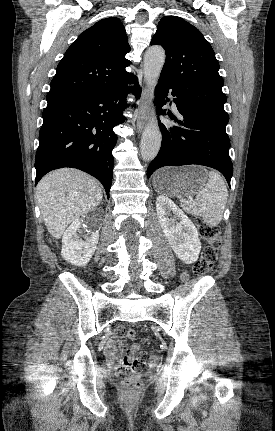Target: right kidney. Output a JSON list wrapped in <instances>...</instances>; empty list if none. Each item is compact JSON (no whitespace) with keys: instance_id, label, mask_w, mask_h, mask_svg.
<instances>
[{"instance_id":"right-kidney-1","label":"right kidney","mask_w":275,"mask_h":431,"mask_svg":"<svg viewBox=\"0 0 275 431\" xmlns=\"http://www.w3.org/2000/svg\"><path fill=\"white\" fill-rule=\"evenodd\" d=\"M83 225L81 218L75 219L72 224L64 232L62 238V251L63 259L70 262L75 266H86L92 258L99 240L98 231L90 232V236L81 240L77 232Z\"/></svg>"}]
</instances>
